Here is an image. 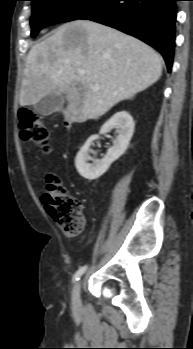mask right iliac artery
Here are the masks:
<instances>
[{
    "instance_id": "right-iliac-artery-1",
    "label": "right iliac artery",
    "mask_w": 193,
    "mask_h": 349,
    "mask_svg": "<svg viewBox=\"0 0 193 349\" xmlns=\"http://www.w3.org/2000/svg\"><path fill=\"white\" fill-rule=\"evenodd\" d=\"M86 269L87 266H82L81 268H79L73 276V282L79 280L82 274L86 271Z\"/></svg>"
}]
</instances>
